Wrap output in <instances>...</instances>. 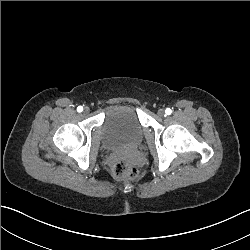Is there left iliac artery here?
Masks as SVG:
<instances>
[{
	"mask_svg": "<svg viewBox=\"0 0 250 250\" xmlns=\"http://www.w3.org/2000/svg\"><path fill=\"white\" fill-rule=\"evenodd\" d=\"M165 113L167 115H170L172 113V110L170 108H166Z\"/></svg>",
	"mask_w": 250,
	"mask_h": 250,
	"instance_id": "44dca946",
	"label": "left iliac artery"
}]
</instances>
